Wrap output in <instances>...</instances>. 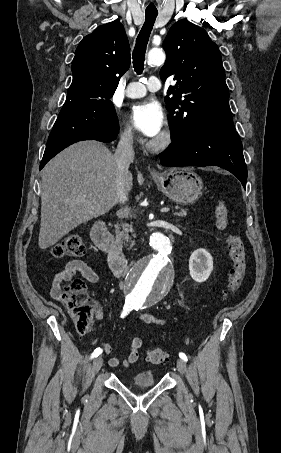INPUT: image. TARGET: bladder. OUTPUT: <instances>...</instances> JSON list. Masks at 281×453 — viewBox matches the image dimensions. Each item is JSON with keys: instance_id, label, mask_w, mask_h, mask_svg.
I'll return each mask as SVG.
<instances>
[{"instance_id": "31cf9c89", "label": "bladder", "mask_w": 281, "mask_h": 453, "mask_svg": "<svg viewBox=\"0 0 281 453\" xmlns=\"http://www.w3.org/2000/svg\"><path fill=\"white\" fill-rule=\"evenodd\" d=\"M131 381L135 386L148 387L155 383V378L152 372L145 371L134 375Z\"/></svg>"}]
</instances>
